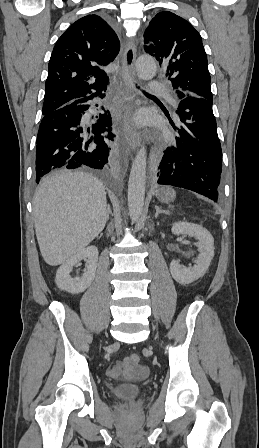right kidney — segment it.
Here are the masks:
<instances>
[{
	"instance_id": "ca27d5eb",
	"label": "right kidney",
	"mask_w": 259,
	"mask_h": 448,
	"mask_svg": "<svg viewBox=\"0 0 259 448\" xmlns=\"http://www.w3.org/2000/svg\"><path fill=\"white\" fill-rule=\"evenodd\" d=\"M85 260L86 262V272H84L81 278H71L69 276L73 266H76L78 262ZM98 262V250L95 246H88V248H83L78 254L71 256L69 260H66L60 268L57 270L56 274V284L61 290L69 292V294H80L87 290L91 286L97 268Z\"/></svg>"
}]
</instances>
